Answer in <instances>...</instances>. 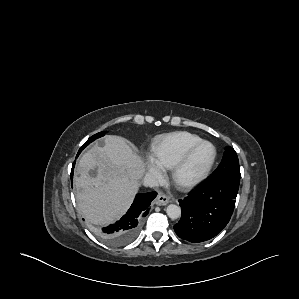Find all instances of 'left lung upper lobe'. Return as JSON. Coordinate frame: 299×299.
<instances>
[{
  "label": "left lung upper lobe",
  "instance_id": "1",
  "mask_svg": "<svg viewBox=\"0 0 299 299\" xmlns=\"http://www.w3.org/2000/svg\"><path fill=\"white\" fill-rule=\"evenodd\" d=\"M240 167L237 154L233 148H227L218 168L209 177L210 179H228L240 182Z\"/></svg>",
  "mask_w": 299,
  "mask_h": 299
}]
</instances>
